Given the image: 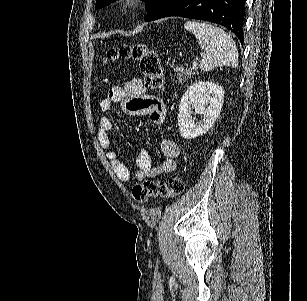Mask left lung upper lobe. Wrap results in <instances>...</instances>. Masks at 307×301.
<instances>
[{"instance_id": "obj_1", "label": "left lung upper lobe", "mask_w": 307, "mask_h": 301, "mask_svg": "<svg viewBox=\"0 0 307 301\" xmlns=\"http://www.w3.org/2000/svg\"><path fill=\"white\" fill-rule=\"evenodd\" d=\"M116 0H97L95 8H102ZM146 1V9L148 10V17L146 21L156 20L163 11L172 5L176 0H145Z\"/></svg>"}]
</instances>
